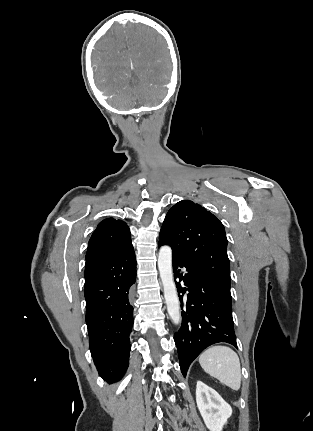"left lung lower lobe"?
<instances>
[{
	"label": "left lung lower lobe",
	"mask_w": 313,
	"mask_h": 431,
	"mask_svg": "<svg viewBox=\"0 0 313 431\" xmlns=\"http://www.w3.org/2000/svg\"><path fill=\"white\" fill-rule=\"evenodd\" d=\"M158 246L162 244L158 243ZM181 268L186 269L184 275L180 273ZM173 272L181 309H184L182 325L175 333L174 341L182 374L186 376L190 364L208 346L227 342L237 347L231 293L230 286L202 275L175 256Z\"/></svg>",
	"instance_id": "left-lung-lower-lobe-1"
}]
</instances>
